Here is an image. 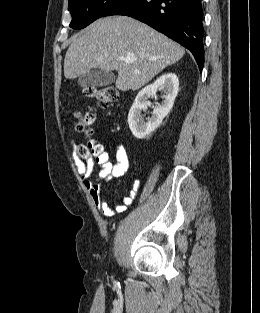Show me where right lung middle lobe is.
Returning a JSON list of instances; mask_svg holds the SVG:
<instances>
[{"mask_svg": "<svg viewBox=\"0 0 260 313\" xmlns=\"http://www.w3.org/2000/svg\"><path fill=\"white\" fill-rule=\"evenodd\" d=\"M119 0H69L70 27L82 29L104 14Z\"/></svg>", "mask_w": 260, "mask_h": 313, "instance_id": "right-lung-middle-lobe-1", "label": "right lung middle lobe"}]
</instances>
